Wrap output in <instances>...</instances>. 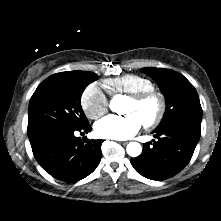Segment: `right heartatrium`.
Instances as JSON below:
<instances>
[{
    "instance_id": "right-heart-atrium-1",
    "label": "right heart atrium",
    "mask_w": 221,
    "mask_h": 221,
    "mask_svg": "<svg viewBox=\"0 0 221 221\" xmlns=\"http://www.w3.org/2000/svg\"><path fill=\"white\" fill-rule=\"evenodd\" d=\"M80 105L90 119H98L108 110V99L97 83H90L83 90Z\"/></svg>"
}]
</instances>
